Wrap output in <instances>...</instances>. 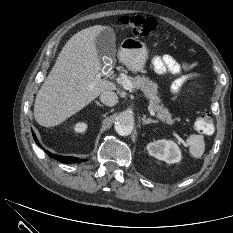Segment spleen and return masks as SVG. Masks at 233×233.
Returning <instances> with one entry per match:
<instances>
[{
    "instance_id": "spleen-1",
    "label": "spleen",
    "mask_w": 233,
    "mask_h": 233,
    "mask_svg": "<svg viewBox=\"0 0 233 233\" xmlns=\"http://www.w3.org/2000/svg\"><path fill=\"white\" fill-rule=\"evenodd\" d=\"M186 145L189 146V152L194 158H200L205 151L203 135H190L186 140Z\"/></svg>"
}]
</instances>
